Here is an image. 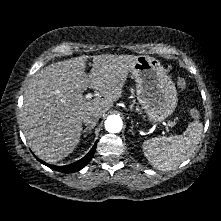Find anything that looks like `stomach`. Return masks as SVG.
Returning <instances> with one entry per match:
<instances>
[{
    "label": "stomach",
    "mask_w": 221,
    "mask_h": 221,
    "mask_svg": "<svg viewBox=\"0 0 221 221\" xmlns=\"http://www.w3.org/2000/svg\"><path fill=\"white\" fill-rule=\"evenodd\" d=\"M130 72L136 83L137 100L150 122H161L170 116L177 105V92L161 63L151 56L140 55Z\"/></svg>",
    "instance_id": "stomach-1"
}]
</instances>
